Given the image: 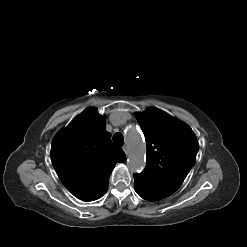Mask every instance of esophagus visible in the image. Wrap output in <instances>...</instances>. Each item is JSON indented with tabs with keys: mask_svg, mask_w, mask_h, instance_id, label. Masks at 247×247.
<instances>
[{
	"mask_svg": "<svg viewBox=\"0 0 247 247\" xmlns=\"http://www.w3.org/2000/svg\"><path fill=\"white\" fill-rule=\"evenodd\" d=\"M123 150H124V152H125L126 155L129 154V148H128L127 145H124V146H123Z\"/></svg>",
	"mask_w": 247,
	"mask_h": 247,
	"instance_id": "obj_1",
	"label": "esophagus"
}]
</instances>
